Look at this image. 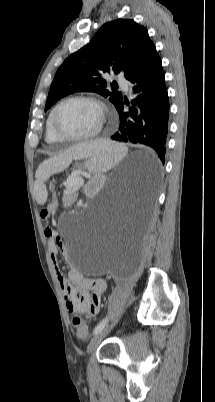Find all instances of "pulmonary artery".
Wrapping results in <instances>:
<instances>
[{
  "mask_svg": "<svg viewBox=\"0 0 215 402\" xmlns=\"http://www.w3.org/2000/svg\"><path fill=\"white\" fill-rule=\"evenodd\" d=\"M118 83H119L125 90H128L129 83H128V81H127L125 78H123V77H118Z\"/></svg>",
  "mask_w": 215,
  "mask_h": 402,
  "instance_id": "1",
  "label": "pulmonary artery"
}]
</instances>
